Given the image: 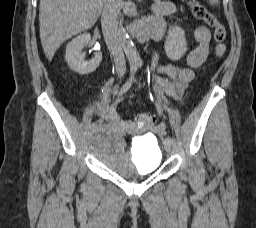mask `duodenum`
<instances>
[{
  "mask_svg": "<svg viewBox=\"0 0 256 228\" xmlns=\"http://www.w3.org/2000/svg\"><path fill=\"white\" fill-rule=\"evenodd\" d=\"M132 33L140 42H145L150 38L158 39L161 37V32L150 21H143L135 25L132 29Z\"/></svg>",
  "mask_w": 256,
  "mask_h": 228,
  "instance_id": "duodenum-1",
  "label": "duodenum"
}]
</instances>
